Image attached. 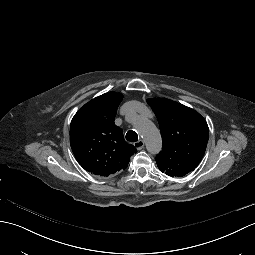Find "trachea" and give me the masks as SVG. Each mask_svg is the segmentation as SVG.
Returning a JSON list of instances; mask_svg holds the SVG:
<instances>
[{
    "mask_svg": "<svg viewBox=\"0 0 255 255\" xmlns=\"http://www.w3.org/2000/svg\"><path fill=\"white\" fill-rule=\"evenodd\" d=\"M126 139L130 142H136L138 141V135L135 131L130 130L126 133Z\"/></svg>",
    "mask_w": 255,
    "mask_h": 255,
    "instance_id": "1",
    "label": "trachea"
}]
</instances>
